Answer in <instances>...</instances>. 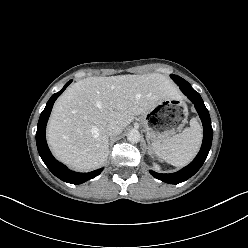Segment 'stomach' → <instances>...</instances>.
<instances>
[{
  "mask_svg": "<svg viewBox=\"0 0 248 248\" xmlns=\"http://www.w3.org/2000/svg\"><path fill=\"white\" fill-rule=\"evenodd\" d=\"M187 107L180 97L162 99L152 110L142 115L141 121L146 131L151 149L156 142L170 138L187 122ZM150 144V143H149Z\"/></svg>",
  "mask_w": 248,
  "mask_h": 248,
  "instance_id": "stomach-1",
  "label": "stomach"
}]
</instances>
